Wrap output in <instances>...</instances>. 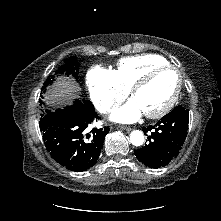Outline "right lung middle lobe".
<instances>
[{
	"label": "right lung middle lobe",
	"instance_id": "1",
	"mask_svg": "<svg viewBox=\"0 0 221 221\" xmlns=\"http://www.w3.org/2000/svg\"><path fill=\"white\" fill-rule=\"evenodd\" d=\"M79 66L77 62V57L73 56L68 60H65V63L61 65L58 70L56 71V75L60 76L63 75L65 72L71 74L75 79H78L77 72L79 71ZM55 75L50 76L44 83V87H42V91L45 93L46 92V87L54 81ZM44 102L40 100V105H43ZM74 104H85L86 106H93L90 101H86L84 99L79 100L77 99ZM50 110H46L43 113H47Z\"/></svg>",
	"mask_w": 221,
	"mask_h": 221
}]
</instances>
